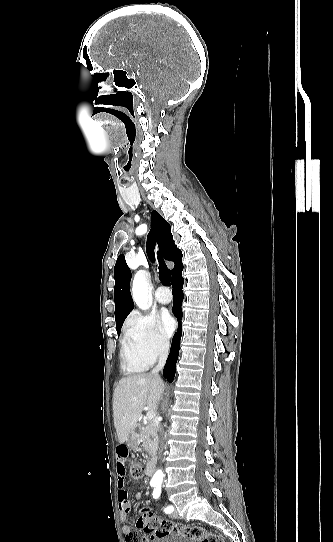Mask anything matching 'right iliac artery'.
<instances>
[{
	"label": "right iliac artery",
	"instance_id": "right-iliac-artery-1",
	"mask_svg": "<svg viewBox=\"0 0 333 542\" xmlns=\"http://www.w3.org/2000/svg\"><path fill=\"white\" fill-rule=\"evenodd\" d=\"M155 485H156V484H154V483H151V486H155Z\"/></svg>",
	"mask_w": 333,
	"mask_h": 542
}]
</instances>
